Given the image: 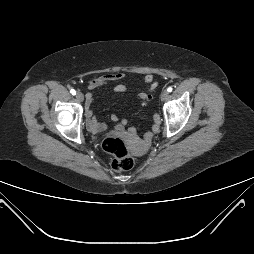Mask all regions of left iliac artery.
<instances>
[{"mask_svg": "<svg viewBox=\"0 0 254 254\" xmlns=\"http://www.w3.org/2000/svg\"><path fill=\"white\" fill-rule=\"evenodd\" d=\"M172 90H173L172 87H169V88L167 89L168 92H172Z\"/></svg>", "mask_w": 254, "mask_h": 254, "instance_id": "left-iliac-artery-1", "label": "left iliac artery"}]
</instances>
